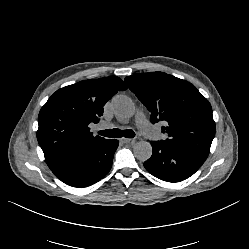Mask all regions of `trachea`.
I'll return each mask as SVG.
<instances>
[{"label": "trachea", "mask_w": 249, "mask_h": 249, "mask_svg": "<svg viewBox=\"0 0 249 249\" xmlns=\"http://www.w3.org/2000/svg\"><path fill=\"white\" fill-rule=\"evenodd\" d=\"M99 135L109 137V138H120V137H126V138H133L135 137V132L130 129H126L124 131L114 128L109 130H101L98 132Z\"/></svg>", "instance_id": "obj_1"}]
</instances>
